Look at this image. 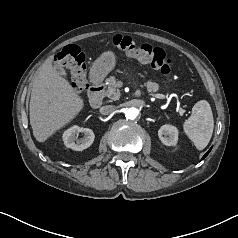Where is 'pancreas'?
Listing matches in <instances>:
<instances>
[{
  "label": "pancreas",
  "instance_id": "pancreas-1",
  "mask_svg": "<svg viewBox=\"0 0 238 238\" xmlns=\"http://www.w3.org/2000/svg\"><path fill=\"white\" fill-rule=\"evenodd\" d=\"M106 84L108 86L105 95L111 100H118L120 98V90L117 88V81L114 76L106 79ZM145 87L149 92H157L159 90V85L151 80L146 82Z\"/></svg>",
  "mask_w": 238,
  "mask_h": 238
}]
</instances>
